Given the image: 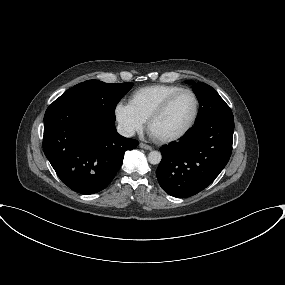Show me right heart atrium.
Masks as SVG:
<instances>
[{"label":"right heart atrium","instance_id":"obj_1","mask_svg":"<svg viewBox=\"0 0 285 285\" xmlns=\"http://www.w3.org/2000/svg\"><path fill=\"white\" fill-rule=\"evenodd\" d=\"M114 117L120 131L126 136H133L140 132L144 126V121L129 103H117L114 108Z\"/></svg>","mask_w":285,"mask_h":285}]
</instances>
